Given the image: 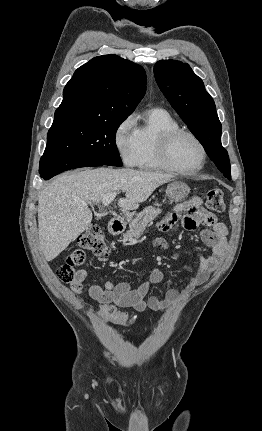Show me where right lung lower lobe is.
I'll return each instance as SVG.
<instances>
[{
  "label": "right lung lower lobe",
  "mask_w": 262,
  "mask_h": 431,
  "mask_svg": "<svg viewBox=\"0 0 262 431\" xmlns=\"http://www.w3.org/2000/svg\"><path fill=\"white\" fill-rule=\"evenodd\" d=\"M104 164L72 157H43L40 160L39 173L40 176L48 180L53 176L74 168L102 166Z\"/></svg>",
  "instance_id": "1"
}]
</instances>
